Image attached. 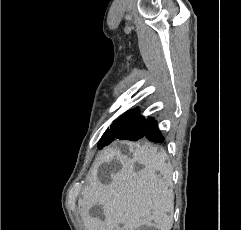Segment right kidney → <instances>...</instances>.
I'll use <instances>...</instances> for the list:
<instances>
[{
  "mask_svg": "<svg viewBox=\"0 0 241 230\" xmlns=\"http://www.w3.org/2000/svg\"><path fill=\"white\" fill-rule=\"evenodd\" d=\"M167 193H168L169 196L171 195V192H170V191H168Z\"/></svg>",
  "mask_w": 241,
  "mask_h": 230,
  "instance_id": "obj_1",
  "label": "right kidney"
}]
</instances>
